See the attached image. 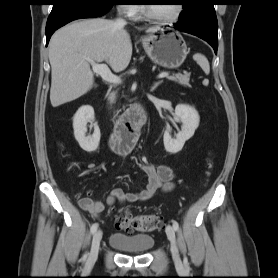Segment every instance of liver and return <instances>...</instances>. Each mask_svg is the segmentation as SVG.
<instances>
[{"mask_svg": "<svg viewBox=\"0 0 278 278\" xmlns=\"http://www.w3.org/2000/svg\"><path fill=\"white\" fill-rule=\"evenodd\" d=\"M159 30L149 27L146 32ZM131 56L129 34L124 25L115 21L85 19L62 27L49 43L52 106L71 102L92 88L94 76L89 60L106 61L113 71L119 72L129 65Z\"/></svg>", "mask_w": 278, "mask_h": 278, "instance_id": "6515ba94", "label": "liver"}]
</instances>
